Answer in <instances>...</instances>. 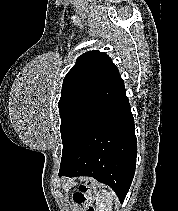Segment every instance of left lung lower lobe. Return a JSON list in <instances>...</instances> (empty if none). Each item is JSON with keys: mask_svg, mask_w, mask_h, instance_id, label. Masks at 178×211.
Masks as SVG:
<instances>
[{"mask_svg": "<svg viewBox=\"0 0 178 211\" xmlns=\"http://www.w3.org/2000/svg\"><path fill=\"white\" fill-rule=\"evenodd\" d=\"M136 156L135 126L122 80L93 128L61 163L59 176H91L109 185L123 202Z\"/></svg>", "mask_w": 178, "mask_h": 211, "instance_id": "left-lung-lower-lobe-1", "label": "left lung lower lobe"}]
</instances>
